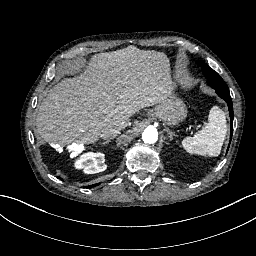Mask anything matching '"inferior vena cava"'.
I'll return each instance as SVG.
<instances>
[{"mask_svg": "<svg viewBox=\"0 0 256 256\" xmlns=\"http://www.w3.org/2000/svg\"><path fill=\"white\" fill-rule=\"evenodd\" d=\"M118 134H120V129H110L108 132L102 133L101 138L103 139L115 138Z\"/></svg>", "mask_w": 256, "mask_h": 256, "instance_id": "obj_1", "label": "inferior vena cava"}]
</instances>
